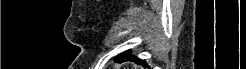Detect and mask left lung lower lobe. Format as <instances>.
Instances as JSON below:
<instances>
[{
	"label": "left lung lower lobe",
	"instance_id": "left-lung-lower-lobe-1",
	"mask_svg": "<svg viewBox=\"0 0 246 69\" xmlns=\"http://www.w3.org/2000/svg\"><path fill=\"white\" fill-rule=\"evenodd\" d=\"M115 61L119 63L124 62V61H134L137 64L147 66L144 60H141L140 58L134 55H131L130 51H126V52L119 54L118 56L115 57Z\"/></svg>",
	"mask_w": 246,
	"mask_h": 69
}]
</instances>
